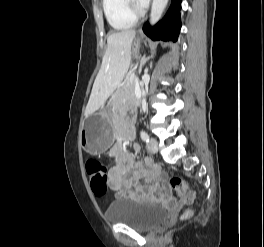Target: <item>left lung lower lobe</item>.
Wrapping results in <instances>:
<instances>
[{
	"mask_svg": "<svg viewBox=\"0 0 264 247\" xmlns=\"http://www.w3.org/2000/svg\"><path fill=\"white\" fill-rule=\"evenodd\" d=\"M180 3L181 0H171V6L165 17L153 28L147 22L143 26L144 33L153 40L177 41L181 28Z\"/></svg>",
	"mask_w": 264,
	"mask_h": 247,
	"instance_id": "1",
	"label": "left lung lower lobe"
}]
</instances>
